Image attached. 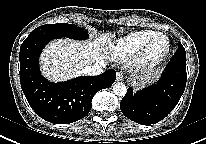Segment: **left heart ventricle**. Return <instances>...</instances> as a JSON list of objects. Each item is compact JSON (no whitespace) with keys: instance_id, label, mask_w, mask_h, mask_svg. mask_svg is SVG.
<instances>
[{"instance_id":"obj_1","label":"left heart ventricle","mask_w":206,"mask_h":144,"mask_svg":"<svg viewBox=\"0 0 206 144\" xmlns=\"http://www.w3.org/2000/svg\"><path fill=\"white\" fill-rule=\"evenodd\" d=\"M166 40L161 38V39H158L152 46V49H151V55L152 56H157L159 55L160 53H162L164 51V49L166 48Z\"/></svg>"}]
</instances>
